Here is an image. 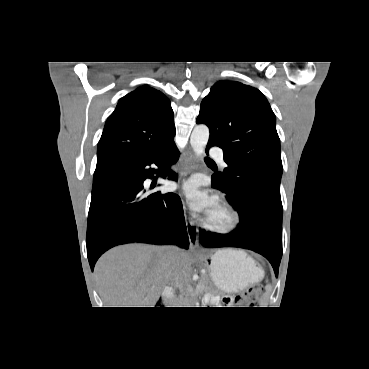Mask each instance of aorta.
<instances>
[{"instance_id": "1", "label": "aorta", "mask_w": 369, "mask_h": 369, "mask_svg": "<svg viewBox=\"0 0 369 369\" xmlns=\"http://www.w3.org/2000/svg\"><path fill=\"white\" fill-rule=\"evenodd\" d=\"M209 139V128L206 125H197L192 131L190 143L197 157H202Z\"/></svg>"}]
</instances>
